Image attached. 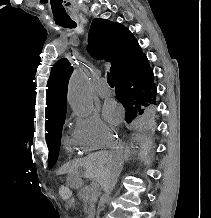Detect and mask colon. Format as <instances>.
Masks as SVG:
<instances>
[{
    "mask_svg": "<svg viewBox=\"0 0 211 218\" xmlns=\"http://www.w3.org/2000/svg\"><path fill=\"white\" fill-rule=\"evenodd\" d=\"M59 196L64 201L71 200L72 199L71 189L68 186H66V185L60 186V188H59Z\"/></svg>",
    "mask_w": 211,
    "mask_h": 218,
    "instance_id": "5ec220e1",
    "label": "colon"
}]
</instances>
